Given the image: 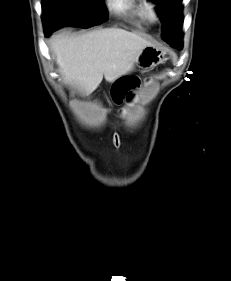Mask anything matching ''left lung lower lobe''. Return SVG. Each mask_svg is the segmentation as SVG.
I'll return each instance as SVG.
<instances>
[{
	"instance_id": "1",
	"label": "left lung lower lobe",
	"mask_w": 231,
	"mask_h": 281,
	"mask_svg": "<svg viewBox=\"0 0 231 281\" xmlns=\"http://www.w3.org/2000/svg\"><path fill=\"white\" fill-rule=\"evenodd\" d=\"M170 41L172 42V46L177 47L178 49L182 48V34L181 31H173L170 37Z\"/></svg>"
}]
</instances>
